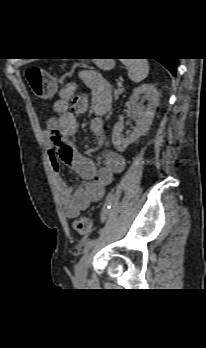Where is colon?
<instances>
[{
  "label": "colon",
  "instance_id": "colon-1",
  "mask_svg": "<svg viewBox=\"0 0 206 348\" xmlns=\"http://www.w3.org/2000/svg\"><path fill=\"white\" fill-rule=\"evenodd\" d=\"M32 94L38 99H47L55 92L54 78L42 67H30L26 71ZM75 231L81 236H88L91 232V221L88 217L83 216L75 220Z\"/></svg>",
  "mask_w": 206,
  "mask_h": 348
}]
</instances>
